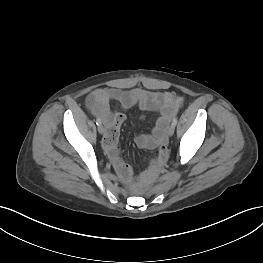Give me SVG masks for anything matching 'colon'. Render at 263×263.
<instances>
[{"instance_id": "5ec220e1", "label": "colon", "mask_w": 263, "mask_h": 263, "mask_svg": "<svg viewBox=\"0 0 263 263\" xmlns=\"http://www.w3.org/2000/svg\"><path fill=\"white\" fill-rule=\"evenodd\" d=\"M92 104L95 105V106H98V103H96V102H92Z\"/></svg>"}]
</instances>
